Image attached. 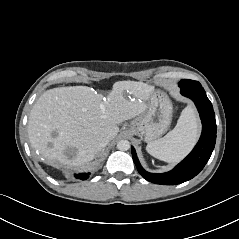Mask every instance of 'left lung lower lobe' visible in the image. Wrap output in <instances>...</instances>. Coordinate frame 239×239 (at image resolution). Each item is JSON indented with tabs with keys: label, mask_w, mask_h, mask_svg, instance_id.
Wrapping results in <instances>:
<instances>
[{
	"label": "left lung lower lobe",
	"mask_w": 239,
	"mask_h": 239,
	"mask_svg": "<svg viewBox=\"0 0 239 239\" xmlns=\"http://www.w3.org/2000/svg\"><path fill=\"white\" fill-rule=\"evenodd\" d=\"M180 88L181 94L193 100L198 109L202 121L201 137L192 152L182 162L173 170L162 174H153L145 171L138 161L135 149L131 148L132 157L138 172L144 179L155 184L176 185L192 179L204 168L215 146V114L204 88L201 85L183 86Z\"/></svg>",
	"instance_id": "left-lung-lower-lobe-1"
}]
</instances>
